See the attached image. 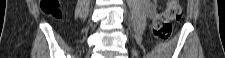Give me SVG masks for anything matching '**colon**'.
Wrapping results in <instances>:
<instances>
[{
  "label": "colon",
  "instance_id": "obj_1",
  "mask_svg": "<svg viewBox=\"0 0 225 58\" xmlns=\"http://www.w3.org/2000/svg\"><path fill=\"white\" fill-rule=\"evenodd\" d=\"M41 10L53 19L59 20L62 17L59 2L56 0H43ZM182 15L183 9L179 2L169 1L166 9L158 14L154 20L153 33L155 37L163 41L169 40L173 31V23L178 21Z\"/></svg>",
  "mask_w": 225,
  "mask_h": 58
}]
</instances>
